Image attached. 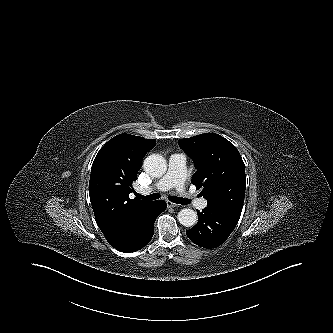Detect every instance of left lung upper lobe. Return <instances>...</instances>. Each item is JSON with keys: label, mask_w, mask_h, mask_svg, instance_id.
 Masks as SVG:
<instances>
[{"label": "left lung upper lobe", "mask_w": 333, "mask_h": 333, "mask_svg": "<svg viewBox=\"0 0 333 333\" xmlns=\"http://www.w3.org/2000/svg\"><path fill=\"white\" fill-rule=\"evenodd\" d=\"M195 163L192 177L208 205L240 218L246 188L244 162L239 151L227 139L206 133L178 141Z\"/></svg>", "instance_id": "1"}]
</instances>
